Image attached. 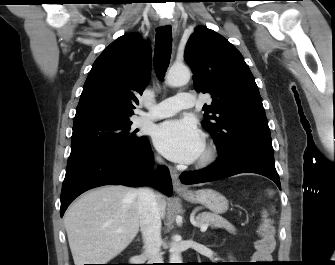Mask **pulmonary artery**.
<instances>
[{"instance_id":"1","label":"pulmonary artery","mask_w":335,"mask_h":265,"mask_svg":"<svg viewBox=\"0 0 335 265\" xmlns=\"http://www.w3.org/2000/svg\"><path fill=\"white\" fill-rule=\"evenodd\" d=\"M195 105L194 95L188 92L178 93L174 97L167 98L160 103L149 107L141 120H156L172 116L183 109L192 108Z\"/></svg>"}]
</instances>
